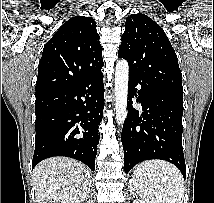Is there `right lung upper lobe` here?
Wrapping results in <instances>:
<instances>
[{
	"instance_id": "obj_1",
	"label": "right lung upper lobe",
	"mask_w": 214,
	"mask_h": 203,
	"mask_svg": "<svg viewBox=\"0 0 214 203\" xmlns=\"http://www.w3.org/2000/svg\"><path fill=\"white\" fill-rule=\"evenodd\" d=\"M91 17L65 22L46 43L38 65L36 97L72 85L101 71L102 47Z\"/></svg>"
}]
</instances>
